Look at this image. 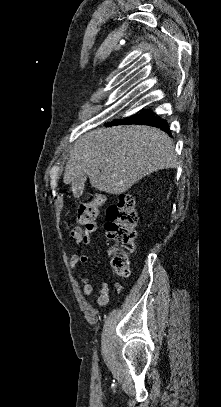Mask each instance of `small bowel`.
Wrapping results in <instances>:
<instances>
[{
	"mask_svg": "<svg viewBox=\"0 0 221 407\" xmlns=\"http://www.w3.org/2000/svg\"><path fill=\"white\" fill-rule=\"evenodd\" d=\"M91 242V238L87 239H81L77 241V243L81 245H89ZM89 260V256L86 253H81V254H74L70 257L68 266L70 269L75 270L79 265L87 263ZM80 282L82 284L81 287V292L82 295L87 297L89 296L92 291H93V284L91 279L84 274L78 273ZM114 288L116 293H120L123 289V286L120 282H115L114 283ZM109 295H110V289L109 285L105 280H101L100 282V293L98 296V306H105L109 302Z\"/></svg>",
	"mask_w": 221,
	"mask_h": 407,
	"instance_id": "1",
	"label": "small bowel"
}]
</instances>
